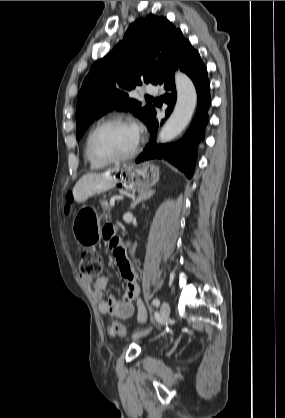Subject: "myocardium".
<instances>
[{"label":"myocardium","mask_w":285,"mask_h":418,"mask_svg":"<svg viewBox=\"0 0 285 418\" xmlns=\"http://www.w3.org/2000/svg\"><path fill=\"white\" fill-rule=\"evenodd\" d=\"M110 125H126L130 126L129 122L122 117H110L99 122L89 133L86 140V149L91 159L102 164H114L124 162L132 159L139 150V137H137L133 149L123 156H108L96 151L93 145V140L96 134L103 128Z\"/></svg>","instance_id":"1"}]
</instances>
